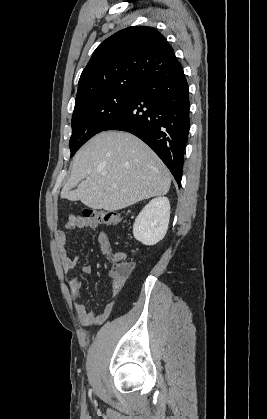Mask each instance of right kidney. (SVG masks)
<instances>
[{
	"label": "right kidney",
	"mask_w": 267,
	"mask_h": 419,
	"mask_svg": "<svg viewBox=\"0 0 267 419\" xmlns=\"http://www.w3.org/2000/svg\"><path fill=\"white\" fill-rule=\"evenodd\" d=\"M170 218L167 197L152 199L139 213L133 225L136 240L145 245H155L166 235Z\"/></svg>",
	"instance_id": "obj_1"
}]
</instances>
